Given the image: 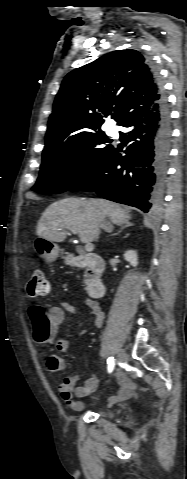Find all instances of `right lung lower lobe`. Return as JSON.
Wrapping results in <instances>:
<instances>
[{
  "mask_svg": "<svg viewBox=\"0 0 187 479\" xmlns=\"http://www.w3.org/2000/svg\"><path fill=\"white\" fill-rule=\"evenodd\" d=\"M120 126L130 128L127 134H121L126 155L121 156L112 147L71 190L94 191L108 200L153 211L162 202L171 144L170 111L163 89L159 101L150 108L133 111Z\"/></svg>",
  "mask_w": 187,
  "mask_h": 479,
  "instance_id": "right-lung-lower-lobe-1",
  "label": "right lung lower lobe"
}]
</instances>
